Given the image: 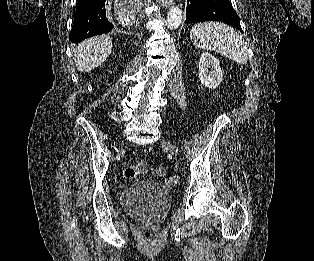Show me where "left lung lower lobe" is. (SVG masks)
Listing matches in <instances>:
<instances>
[{"label": "left lung lower lobe", "instance_id": "1", "mask_svg": "<svg viewBox=\"0 0 314 261\" xmlns=\"http://www.w3.org/2000/svg\"><path fill=\"white\" fill-rule=\"evenodd\" d=\"M186 13L185 23L221 21L242 32L239 17L229 0H188Z\"/></svg>", "mask_w": 314, "mask_h": 261}]
</instances>
